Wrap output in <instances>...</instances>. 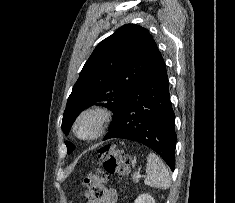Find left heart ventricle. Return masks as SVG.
Instances as JSON below:
<instances>
[{"instance_id": "1", "label": "left heart ventricle", "mask_w": 235, "mask_h": 203, "mask_svg": "<svg viewBox=\"0 0 235 203\" xmlns=\"http://www.w3.org/2000/svg\"><path fill=\"white\" fill-rule=\"evenodd\" d=\"M96 127V121L92 117L85 118L79 124V132L82 136L91 135Z\"/></svg>"}]
</instances>
